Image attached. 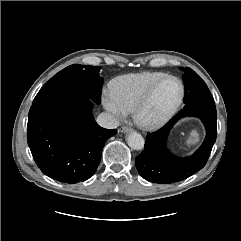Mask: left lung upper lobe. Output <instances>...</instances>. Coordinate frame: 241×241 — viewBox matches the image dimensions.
Wrapping results in <instances>:
<instances>
[{
    "label": "left lung upper lobe",
    "mask_w": 241,
    "mask_h": 241,
    "mask_svg": "<svg viewBox=\"0 0 241 241\" xmlns=\"http://www.w3.org/2000/svg\"><path fill=\"white\" fill-rule=\"evenodd\" d=\"M184 71L183 81L185 87L184 100L186 106L202 102H214V99L199 75L190 68H181Z\"/></svg>",
    "instance_id": "5c2ea615"
}]
</instances>
